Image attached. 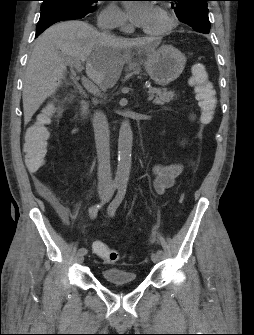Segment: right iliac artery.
<instances>
[{
  "instance_id": "1",
  "label": "right iliac artery",
  "mask_w": 254,
  "mask_h": 335,
  "mask_svg": "<svg viewBox=\"0 0 254 335\" xmlns=\"http://www.w3.org/2000/svg\"><path fill=\"white\" fill-rule=\"evenodd\" d=\"M116 185H112L111 189H110V192L108 193L109 196H111L115 189H116ZM105 201L103 202H100V203H97L95 205H93L92 207H90L89 209V216L92 218V219H95L98 212L100 211V209L102 208V206L104 205ZM80 253H83L84 255L87 254V249L82 247L78 250Z\"/></svg>"
}]
</instances>
